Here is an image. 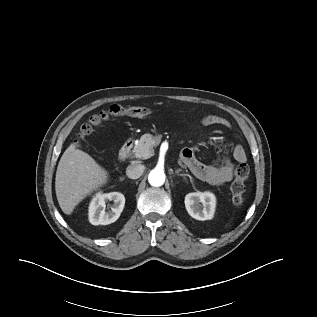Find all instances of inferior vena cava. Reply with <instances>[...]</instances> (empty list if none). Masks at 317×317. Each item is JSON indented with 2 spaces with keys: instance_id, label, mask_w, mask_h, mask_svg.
<instances>
[{
  "instance_id": "602c4592",
  "label": "inferior vena cava",
  "mask_w": 317,
  "mask_h": 317,
  "mask_svg": "<svg viewBox=\"0 0 317 317\" xmlns=\"http://www.w3.org/2000/svg\"><path fill=\"white\" fill-rule=\"evenodd\" d=\"M144 169V166L140 164L129 165L126 169V175L130 179H137L143 174Z\"/></svg>"
}]
</instances>
